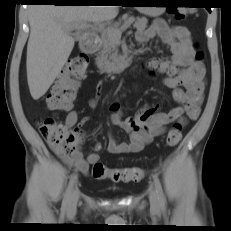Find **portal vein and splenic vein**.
<instances>
[{
	"mask_svg": "<svg viewBox=\"0 0 231 231\" xmlns=\"http://www.w3.org/2000/svg\"><path fill=\"white\" fill-rule=\"evenodd\" d=\"M134 19H129L128 21H126L119 29H110L108 28V32L109 34L115 38L116 40L121 38V34L123 31H125L132 23H133ZM94 26L97 27L98 30L100 31H104L105 30V26L104 24L101 23H94ZM88 27H90V24L87 22L82 23L81 25H76L74 27H70L68 29L69 32L73 31L74 29H87Z\"/></svg>",
	"mask_w": 231,
	"mask_h": 231,
	"instance_id": "18ae733b",
	"label": "portal vein and splenic vein"
}]
</instances>
